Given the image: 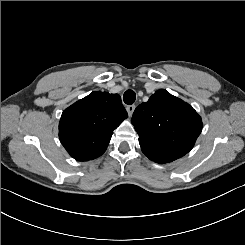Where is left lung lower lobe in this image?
Listing matches in <instances>:
<instances>
[{
	"instance_id": "0a47b994",
	"label": "left lung lower lobe",
	"mask_w": 245,
	"mask_h": 245,
	"mask_svg": "<svg viewBox=\"0 0 245 245\" xmlns=\"http://www.w3.org/2000/svg\"><path fill=\"white\" fill-rule=\"evenodd\" d=\"M167 162H171V160H168V161H163V162H161V163H167Z\"/></svg>"
}]
</instances>
